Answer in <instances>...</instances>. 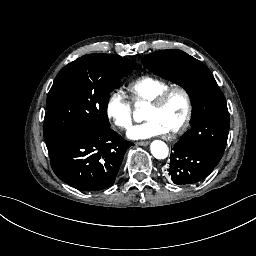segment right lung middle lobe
Returning <instances> with one entry per match:
<instances>
[{
  "instance_id": "right-lung-middle-lobe-1",
  "label": "right lung middle lobe",
  "mask_w": 256,
  "mask_h": 256,
  "mask_svg": "<svg viewBox=\"0 0 256 256\" xmlns=\"http://www.w3.org/2000/svg\"><path fill=\"white\" fill-rule=\"evenodd\" d=\"M141 66L113 54H88L66 65L47 97L44 138L79 137L110 128L109 94L120 79Z\"/></svg>"
}]
</instances>
